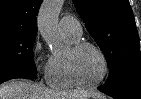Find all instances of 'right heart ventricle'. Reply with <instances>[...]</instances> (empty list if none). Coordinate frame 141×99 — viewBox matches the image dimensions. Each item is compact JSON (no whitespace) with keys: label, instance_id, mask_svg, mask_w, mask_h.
<instances>
[{"label":"right heart ventricle","instance_id":"1","mask_svg":"<svg viewBox=\"0 0 141 99\" xmlns=\"http://www.w3.org/2000/svg\"><path fill=\"white\" fill-rule=\"evenodd\" d=\"M67 36L73 43L80 40V38ZM46 78L49 85L57 89H71L77 86L70 75L67 56L55 55L50 58Z\"/></svg>","mask_w":141,"mask_h":99}]
</instances>
